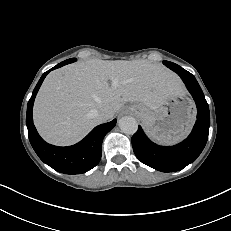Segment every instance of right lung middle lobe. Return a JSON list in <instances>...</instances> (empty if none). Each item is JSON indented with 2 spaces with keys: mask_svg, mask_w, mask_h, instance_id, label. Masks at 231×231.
<instances>
[{
  "mask_svg": "<svg viewBox=\"0 0 231 231\" xmlns=\"http://www.w3.org/2000/svg\"><path fill=\"white\" fill-rule=\"evenodd\" d=\"M71 59H73V62H74V61H76V59H75V58H71Z\"/></svg>",
  "mask_w": 231,
  "mask_h": 231,
  "instance_id": "dd1d6c3e",
  "label": "right lung middle lobe"
}]
</instances>
